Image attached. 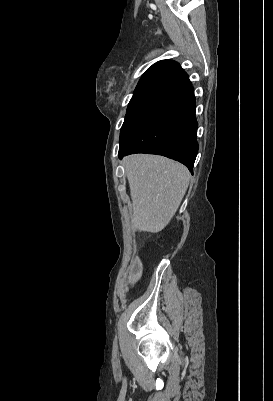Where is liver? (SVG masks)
I'll list each match as a JSON object with an SVG mask.
<instances>
[{
  "mask_svg": "<svg viewBox=\"0 0 273 401\" xmlns=\"http://www.w3.org/2000/svg\"><path fill=\"white\" fill-rule=\"evenodd\" d=\"M124 166L134 229L159 233L174 217L188 188V168L157 154H130L124 158Z\"/></svg>",
  "mask_w": 273,
  "mask_h": 401,
  "instance_id": "1",
  "label": "liver"
}]
</instances>
